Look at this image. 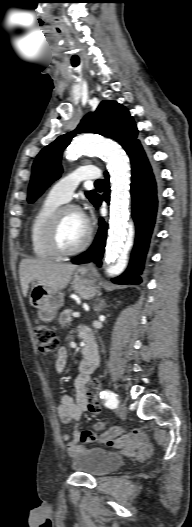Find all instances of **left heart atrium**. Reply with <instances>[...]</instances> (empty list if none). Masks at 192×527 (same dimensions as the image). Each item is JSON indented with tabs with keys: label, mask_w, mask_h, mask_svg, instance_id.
<instances>
[{
	"label": "left heart atrium",
	"mask_w": 192,
	"mask_h": 527,
	"mask_svg": "<svg viewBox=\"0 0 192 527\" xmlns=\"http://www.w3.org/2000/svg\"><path fill=\"white\" fill-rule=\"evenodd\" d=\"M80 215H81V218H82V220L84 221V223H85L86 225H89V220H88L87 215H85L84 213H80Z\"/></svg>",
	"instance_id": "left-heart-atrium-1"
}]
</instances>
